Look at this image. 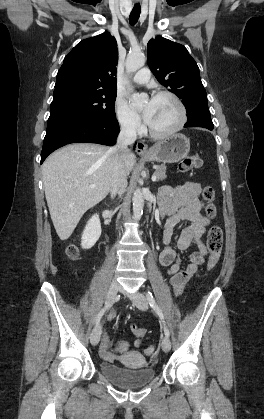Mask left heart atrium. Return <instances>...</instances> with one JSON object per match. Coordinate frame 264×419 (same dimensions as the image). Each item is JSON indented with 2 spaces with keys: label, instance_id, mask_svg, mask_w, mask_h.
I'll use <instances>...</instances> for the list:
<instances>
[{
  "label": "left heart atrium",
  "instance_id": "obj_1",
  "mask_svg": "<svg viewBox=\"0 0 264 419\" xmlns=\"http://www.w3.org/2000/svg\"><path fill=\"white\" fill-rule=\"evenodd\" d=\"M152 115H153V106H152V100H151L147 103L145 110L143 112V117L148 124L151 122Z\"/></svg>",
  "mask_w": 264,
  "mask_h": 419
}]
</instances>
